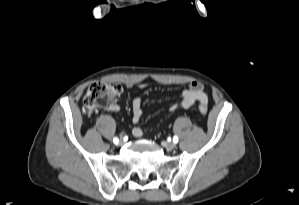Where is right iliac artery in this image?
Returning <instances> with one entry per match:
<instances>
[{"instance_id":"1","label":"right iliac artery","mask_w":299,"mask_h":205,"mask_svg":"<svg viewBox=\"0 0 299 205\" xmlns=\"http://www.w3.org/2000/svg\"><path fill=\"white\" fill-rule=\"evenodd\" d=\"M113 142H114L115 144H118V142H119L118 138L115 137V138L113 139Z\"/></svg>"}]
</instances>
